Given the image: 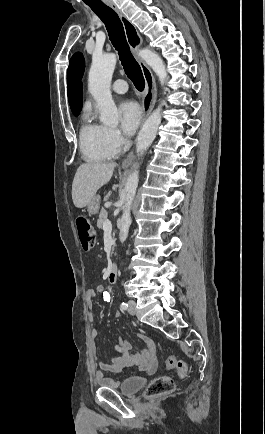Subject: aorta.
<instances>
[{"label": "aorta", "mask_w": 265, "mask_h": 434, "mask_svg": "<svg viewBox=\"0 0 265 434\" xmlns=\"http://www.w3.org/2000/svg\"><path fill=\"white\" fill-rule=\"evenodd\" d=\"M140 56L152 68L162 86H164L167 72L162 58L156 52L148 50V48L140 50ZM116 62L117 58L115 54L92 56V64L88 74V92H90L97 102V108L100 112V122H103L106 126H115V128L118 126L119 114L112 98L110 86ZM161 120V106H158L157 110H154L148 120L144 122L142 130L139 132L136 146L137 154H143L151 146L157 136ZM138 178V172L130 174L124 188L126 200L124 206H122L123 214L119 222V240L122 244L125 242L131 226L130 210L135 198L139 182Z\"/></svg>", "instance_id": "1"}]
</instances>
